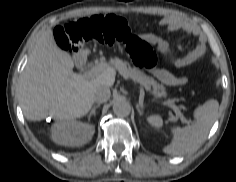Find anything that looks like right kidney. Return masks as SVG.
I'll list each match as a JSON object with an SVG mask.
<instances>
[{"mask_svg":"<svg viewBox=\"0 0 236 182\" xmlns=\"http://www.w3.org/2000/svg\"><path fill=\"white\" fill-rule=\"evenodd\" d=\"M95 127L75 120L58 121L52 126V139L64 146L78 147L89 142Z\"/></svg>","mask_w":236,"mask_h":182,"instance_id":"obj_1","label":"right kidney"}]
</instances>
